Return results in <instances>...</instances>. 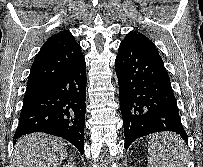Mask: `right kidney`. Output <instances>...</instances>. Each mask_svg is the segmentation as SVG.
Instances as JSON below:
<instances>
[{"label": "right kidney", "mask_w": 203, "mask_h": 167, "mask_svg": "<svg viewBox=\"0 0 203 167\" xmlns=\"http://www.w3.org/2000/svg\"><path fill=\"white\" fill-rule=\"evenodd\" d=\"M63 167H76L74 163L69 162L68 164L64 165Z\"/></svg>", "instance_id": "1"}]
</instances>
